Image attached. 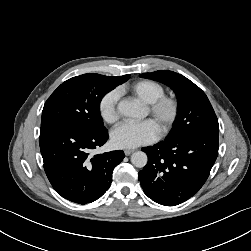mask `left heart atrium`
Returning <instances> with one entry per match:
<instances>
[{"label": "left heart atrium", "instance_id": "39dd6f15", "mask_svg": "<svg viewBox=\"0 0 251 251\" xmlns=\"http://www.w3.org/2000/svg\"><path fill=\"white\" fill-rule=\"evenodd\" d=\"M158 133L159 129L153 120L123 122L112 131L111 141L117 148L131 149L153 142Z\"/></svg>", "mask_w": 251, "mask_h": 251}]
</instances>
